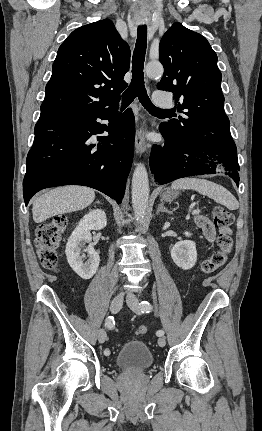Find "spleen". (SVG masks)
I'll return each instance as SVG.
<instances>
[{
  "mask_svg": "<svg viewBox=\"0 0 262 431\" xmlns=\"http://www.w3.org/2000/svg\"><path fill=\"white\" fill-rule=\"evenodd\" d=\"M171 189L197 191L198 193L213 199L215 202L224 205L229 210H236L239 207L238 201L231 192L223 186L206 179L195 177L180 178L172 183Z\"/></svg>",
  "mask_w": 262,
  "mask_h": 431,
  "instance_id": "1",
  "label": "spleen"
}]
</instances>
